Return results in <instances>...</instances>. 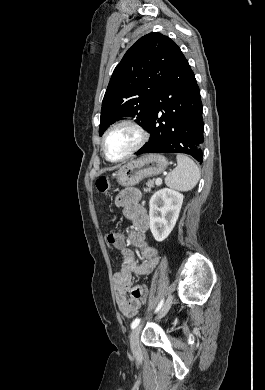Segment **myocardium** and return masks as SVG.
Returning a JSON list of instances; mask_svg holds the SVG:
<instances>
[{
    "mask_svg": "<svg viewBox=\"0 0 265 390\" xmlns=\"http://www.w3.org/2000/svg\"><path fill=\"white\" fill-rule=\"evenodd\" d=\"M122 127H127V128L132 129L136 133L137 140H136L135 144L130 148V150L124 156H122L121 158H119L117 160H111L108 158L107 153H106V141H107L108 136L114 130H116L118 128H122ZM147 140H148V133H147L146 129L138 121H136L134 119H130V118L122 119V120L114 123L113 125H111L107 129V131L105 132V134L102 138V142H101L102 154H103L104 158L110 163H121V162L126 161L130 157H132L135 153H137L146 144Z\"/></svg>",
    "mask_w": 265,
    "mask_h": 390,
    "instance_id": "obj_1",
    "label": "myocardium"
}]
</instances>
